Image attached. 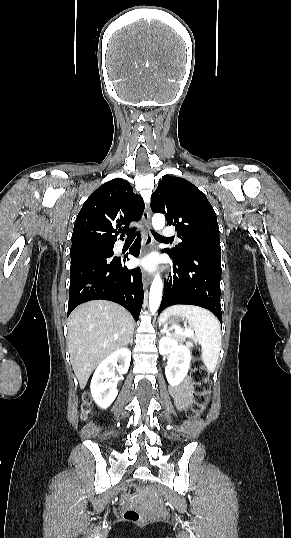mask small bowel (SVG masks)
<instances>
[{
    "label": "small bowel",
    "instance_id": "1",
    "mask_svg": "<svg viewBox=\"0 0 291 538\" xmlns=\"http://www.w3.org/2000/svg\"><path fill=\"white\" fill-rule=\"evenodd\" d=\"M177 398L182 402H188L191 396V383L185 380L181 386L176 390Z\"/></svg>",
    "mask_w": 291,
    "mask_h": 538
}]
</instances>
